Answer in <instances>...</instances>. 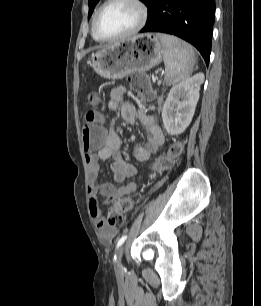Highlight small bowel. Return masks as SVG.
<instances>
[{"label": "small bowel", "mask_w": 261, "mask_h": 306, "mask_svg": "<svg viewBox=\"0 0 261 306\" xmlns=\"http://www.w3.org/2000/svg\"><path fill=\"white\" fill-rule=\"evenodd\" d=\"M124 94L125 89L123 87L113 89L108 97V109L115 110L120 107L121 116L126 122L131 124L140 123L144 127L148 134L147 143L144 146L136 145L132 149L133 157L137 161L144 162L152 154L159 151L164 143L165 136L154 117L145 112H139L134 103L124 99ZM120 147L121 137L115 129L111 128L106 135L104 145L96 153L86 155L89 178V212L98 232L105 239L114 238L118 230L106 222L99 206V196H102L107 201H117L123 196L133 194L138 187L137 183L129 182L116 188L110 182L98 180L100 162L110 159L113 161L111 170L116 182L122 183L127 178L136 175V168L123 159Z\"/></svg>", "instance_id": "small-bowel-1"}]
</instances>
